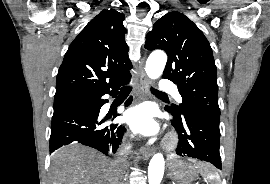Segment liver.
Here are the masks:
<instances>
[{
	"label": "liver",
	"mask_w": 270,
	"mask_h": 184,
	"mask_svg": "<svg viewBox=\"0 0 270 184\" xmlns=\"http://www.w3.org/2000/svg\"><path fill=\"white\" fill-rule=\"evenodd\" d=\"M114 161L79 144L59 149L52 157L51 184H117Z\"/></svg>",
	"instance_id": "obj_1"
}]
</instances>
